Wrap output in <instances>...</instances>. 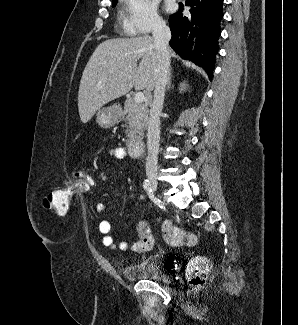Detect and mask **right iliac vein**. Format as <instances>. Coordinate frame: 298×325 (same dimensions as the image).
Listing matches in <instances>:
<instances>
[{
  "mask_svg": "<svg viewBox=\"0 0 298 325\" xmlns=\"http://www.w3.org/2000/svg\"><path fill=\"white\" fill-rule=\"evenodd\" d=\"M150 185L152 189L155 191L157 189V180L154 177H150Z\"/></svg>",
  "mask_w": 298,
  "mask_h": 325,
  "instance_id": "63e3f726",
  "label": "right iliac vein"
}]
</instances>
